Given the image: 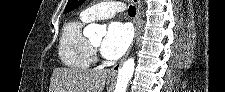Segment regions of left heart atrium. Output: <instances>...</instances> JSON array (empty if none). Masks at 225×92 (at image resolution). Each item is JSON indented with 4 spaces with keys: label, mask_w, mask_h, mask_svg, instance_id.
<instances>
[{
    "label": "left heart atrium",
    "mask_w": 225,
    "mask_h": 92,
    "mask_svg": "<svg viewBox=\"0 0 225 92\" xmlns=\"http://www.w3.org/2000/svg\"><path fill=\"white\" fill-rule=\"evenodd\" d=\"M132 39V29L129 24L114 21L108 26L105 38L101 43V53L108 60L122 56Z\"/></svg>",
    "instance_id": "39dd6f15"
}]
</instances>
